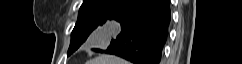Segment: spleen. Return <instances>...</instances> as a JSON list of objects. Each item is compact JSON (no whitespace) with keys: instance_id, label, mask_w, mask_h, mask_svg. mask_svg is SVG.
Wrapping results in <instances>:
<instances>
[{"instance_id":"3e777b00","label":"spleen","mask_w":242,"mask_h":64,"mask_svg":"<svg viewBox=\"0 0 242 64\" xmlns=\"http://www.w3.org/2000/svg\"><path fill=\"white\" fill-rule=\"evenodd\" d=\"M87 64H130L128 61L113 55H101L87 62Z\"/></svg>"}]
</instances>
